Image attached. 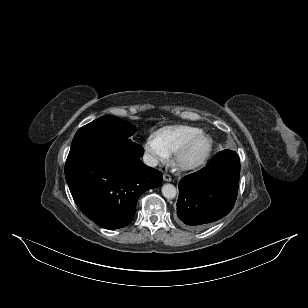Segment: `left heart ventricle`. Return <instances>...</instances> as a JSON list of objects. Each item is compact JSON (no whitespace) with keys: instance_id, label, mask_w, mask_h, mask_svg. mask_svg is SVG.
Returning <instances> with one entry per match:
<instances>
[{"instance_id":"b2bd125f","label":"left heart ventricle","mask_w":308,"mask_h":308,"mask_svg":"<svg viewBox=\"0 0 308 308\" xmlns=\"http://www.w3.org/2000/svg\"><path fill=\"white\" fill-rule=\"evenodd\" d=\"M204 146H205V142H204V141L198 142V143L194 146V148L192 149L190 155H191L192 157L197 156L198 154H200V153L202 152Z\"/></svg>"}]
</instances>
